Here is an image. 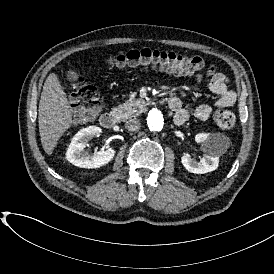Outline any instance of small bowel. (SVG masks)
Returning a JSON list of instances; mask_svg holds the SVG:
<instances>
[{
	"instance_id": "c3829d8e",
	"label": "small bowel",
	"mask_w": 274,
	"mask_h": 274,
	"mask_svg": "<svg viewBox=\"0 0 274 274\" xmlns=\"http://www.w3.org/2000/svg\"><path fill=\"white\" fill-rule=\"evenodd\" d=\"M198 83H205L207 88L218 96L215 102L217 107H231L235 104L236 93L229 88L228 78L218 72L214 66H210L205 73H199L196 76ZM174 111V121L177 125L184 124L189 118V111L182 107L179 101L177 108H171ZM212 108L208 103H199L193 110L194 117L199 121H206L211 114Z\"/></svg>"
}]
</instances>
